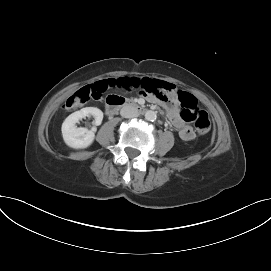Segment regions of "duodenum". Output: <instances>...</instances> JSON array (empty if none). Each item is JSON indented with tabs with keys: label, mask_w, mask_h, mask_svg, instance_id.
I'll return each instance as SVG.
<instances>
[{
	"label": "duodenum",
	"mask_w": 271,
	"mask_h": 271,
	"mask_svg": "<svg viewBox=\"0 0 271 271\" xmlns=\"http://www.w3.org/2000/svg\"><path fill=\"white\" fill-rule=\"evenodd\" d=\"M122 107H131L138 113L144 112V108L139 104L118 96H113L107 100L106 113L108 115H114Z\"/></svg>",
	"instance_id": "410a0bca"
}]
</instances>
